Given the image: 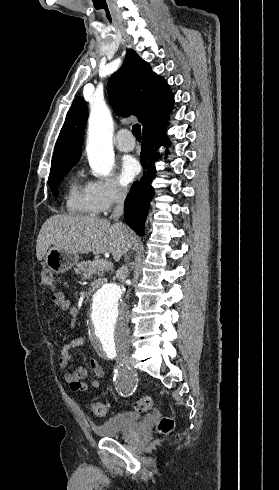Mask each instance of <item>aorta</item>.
I'll return each mask as SVG.
<instances>
[{"mask_svg": "<svg viewBox=\"0 0 279 490\" xmlns=\"http://www.w3.org/2000/svg\"><path fill=\"white\" fill-rule=\"evenodd\" d=\"M113 121L105 104H95L90 112L87 157L94 173L109 175L114 165ZM123 290L114 283L102 285L92 296L89 327L93 345L103 351L114 350L129 339V313L122 300Z\"/></svg>", "mask_w": 279, "mask_h": 490, "instance_id": "obj_1", "label": "aorta"}]
</instances>
